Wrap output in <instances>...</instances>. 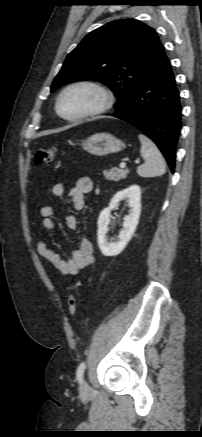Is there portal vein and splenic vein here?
<instances>
[{"label":"portal vein and splenic vein","mask_w":202,"mask_h":437,"mask_svg":"<svg viewBox=\"0 0 202 437\" xmlns=\"http://www.w3.org/2000/svg\"><path fill=\"white\" fill-rule=\"evenodd\" d=\"M140 161L139 160H136V163L138 164ZM126 167V163L125 162H122V163H120V168H125Z\"/></svg>","instance_id":"1"}]
</instances>
